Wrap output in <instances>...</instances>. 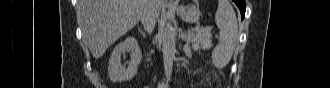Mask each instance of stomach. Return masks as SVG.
<instances>
[{"mask_svg": "<svg viewBox=\"0 0 330 88\" xmlns=\"http://www.w3.org/2000/svg\"><path fill=\"white\" fill-rule=\"evenodd\" d=\"M177 15L187 23H194L200 18L199 6L189 4L187 6L180 5L175 9Z\"/></svg>", "mask_w": 330, "mask_h": 88, "instance_id": "stomach-1", "label": "stomach"}]
</instances>
